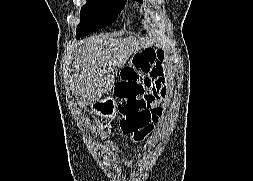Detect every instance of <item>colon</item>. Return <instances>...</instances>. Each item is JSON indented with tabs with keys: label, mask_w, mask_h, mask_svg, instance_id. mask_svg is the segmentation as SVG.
<instances>
[{
	"label": "colon",
	"mask_w": 253,
	"mask_h": 181,
	"mask_svg": "<svg viewBox=\"0 0 253 181\" xmlns=\"http://www.w3.org/2000/svg\"><path fill=\"white\" fill-rule=\"evenodd\" d=\"M161 51L144 48L132 58V64L124 67L115 93L120 100L122 130L136 141L143 140L152 130L158 107L156 97H149L145 87L150 61L161 59Z\"/></svg>",
	"instance_id": "obj_1"
}]
</instances>
